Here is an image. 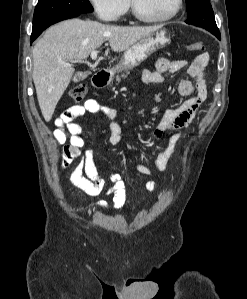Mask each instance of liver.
Wrapping results in <instances>:
<instances>
[{"label":"liver","mask_w":247,"mask_h":299,"mask_svg":"<svg viewBox=\"0 0 247 299\" xmlns=\"http://www.w3.org/2000/svg\"><path fill=\"white\" fill-rule=\"evenodd\" d=\"M161 27L116 26L78 18L49 27L33 48V81L45 121L51 120L74 73L64 63L86 59L105 41L114 52H123Z\"/></svg>","instance_id":"liver-1"}]
</instances>
